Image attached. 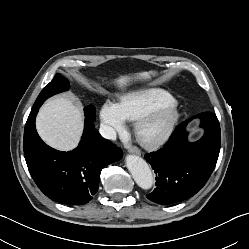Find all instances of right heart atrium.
Listing matches in <instances>:
<instances>
[{
  "instance_id": "right-heart-atrium-1",
  "label": "right heart atrium",
  "mask_w": 249,
  "mask_h": 249,
  "mask_svg": "<svg viewBox=\"0 0 249 249\" xmlns=\"http://www.w3.org/2000/svg\"><path fill=\"white\" fill-rule=\"evenodd\" d=\"M100 119L104 134L113 138L117 133L124 131L127 119L121 113L118 103L106 102L100 112Z\"/></svg>"
}]
</instances>
